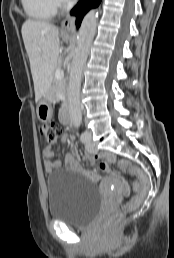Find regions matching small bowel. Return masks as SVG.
I'll list each match as a JSON object with an SVG mask.
<instances>
[{
	"label": "small bowel",
	"mask_w": 174,
	"mask_h": 258,
	"mask_svg": "<svg viewBox=\"0 0 174 258\" xmlns=\"http://www.w3.org/2000/svg\"><path fill=\"white\" fill-rule=\"evenodd\" d=\"M64 140H66V136L63 137ZM44 155V169L46 173L51 174L54 170L59 169L61 166L60 161L58 160H51L54 157V152L50 147H46L43 151ZM86 160L89 163H93L96 159L95 154H89L86 155ZM103 158L108 159L109 162H112L115 160V156L111 153H107L103 155ZM98 167H100L103 170H107V162H98ZM65 168L69 171H83L84 169L80 166V164L77 162L75 157L72 154H68L65 157ZM88 175H90L93 179H101V174H91L90 172L86 171Z\"/></svg>",
	"instance_id": "obj_1"
}]
</instances>
